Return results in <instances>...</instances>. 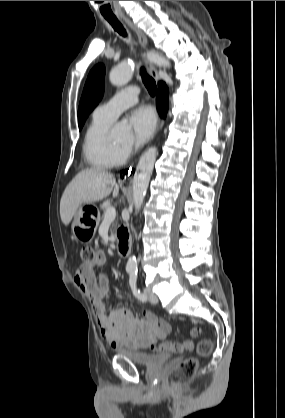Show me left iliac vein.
<instances>
[{
	"label": "left iliac vein",
	"instance_id": "obj_1",
	"mask_svg": "<svg viewBox=\"0 0 285 418\" xmlns=\"http://www.w3.org/2000/svg\"><path fill=\"white\" fill-rule=\"evenodd\" d=\"M144 294L147 297V299L153 303H157L158 302V298L157 296L152 292V290L148 287H146L144 289Z\"/></svg>",
	"mask_w": 285,
	"mask_h": 418
}]
</instances>
